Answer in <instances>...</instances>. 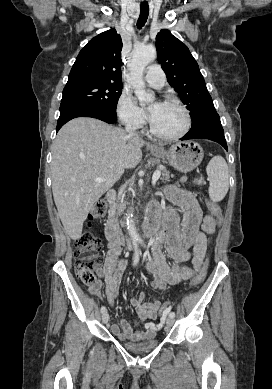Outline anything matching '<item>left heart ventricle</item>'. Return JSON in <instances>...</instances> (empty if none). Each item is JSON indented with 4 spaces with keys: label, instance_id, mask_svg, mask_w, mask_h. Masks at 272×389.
I'll return each instance as SVG.
<instances>
[{
    "label": "left heart ventricle",
    "instance_id": "obj_1",
    "mask_svg": "<svg viewBox=\"0 0 272 389\" xmlns=\"http://www.w3.org/2000/svg\"><path fill=\"white\" fill-rule=\"evenodd\" d=\"M149 111L152 113L151 121L155 129L161 133L176 134L184 126L183 113L173 105L152 103Z\"/></svg>",
    "mask_w": 272,
    "mask_h": 389
}]
</instances>
